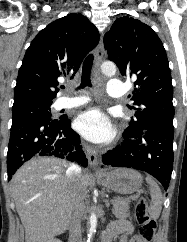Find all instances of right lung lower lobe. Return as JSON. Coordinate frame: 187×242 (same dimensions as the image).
<instances>
[{
	"label": "right lung lower lobe",
	"mask_w": 187,
	"mask_h": 242,
	"mask_svg": "<svg viewBox=\"0 0 187 242\" xmlns=\"http://www.w3.org/2000/svg\"><path fill=\"white\" fill-rule=\"evenodd\" d=\"M79 135L67 117L27 120L12 125L7 153L8 180L26 161L38 156H55L87 166Z\"/></svg>",
	"instance_id": "right-lung-lower-lobe-1"
}]
</instances>
